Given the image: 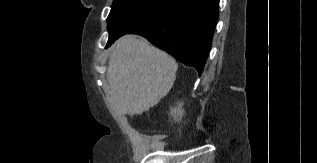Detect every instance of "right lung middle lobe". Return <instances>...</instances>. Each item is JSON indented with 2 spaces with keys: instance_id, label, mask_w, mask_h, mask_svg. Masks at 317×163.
I'll return each instance as SVG.
<instances>
[{
  "instance_id": "1",
  "label": "right lung middle lobe",
  "mask_w": 317,
  "mask_h": 163,
  "mask_svg": "<svg viewBox=\"0 0 317 163\" xmlns=\"http://www.w3.org/2000/svg\"><path fill=\"white\" fill-rule=\"evenodd\" d=\"M173 0H114L107 18L108 43L150 21ZM107 43V44H108Z\"/></svg>"
}]
</instances>
